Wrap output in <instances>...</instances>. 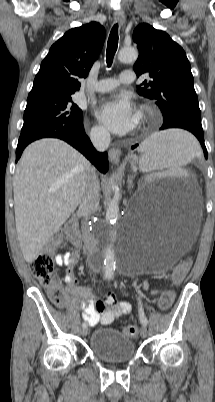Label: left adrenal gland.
<instances>
[{
    "label": "left adrenal gland",
    "mask_w": 215,
    "mask_h": 402,
    "mask_svg": "<svg viewBox=\"0 0 215 402\" xmlns=\"http://www.w3.org/2000/svg\"><path fill=\"white\" fill-rule=\"evenodd\" d=\"M134 176H128V189L131 190L133 184Z\"/></svg>",
    "instance_id": "a2214340"
}]
</instances>
